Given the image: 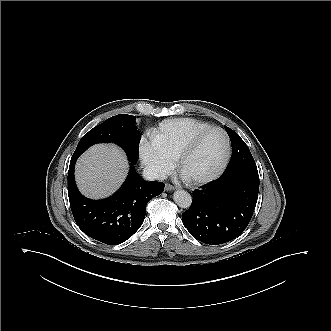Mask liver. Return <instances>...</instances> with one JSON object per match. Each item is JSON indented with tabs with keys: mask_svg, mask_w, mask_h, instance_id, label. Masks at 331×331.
Returning a JSON list of instances; mask_svg holds the SVG:
<instances>
[{
	"mask_svg": "<svg viewBox=\"0 0 331 331\" xmlns=\"http://www.w3.org/2000/svg\"><path fill=\"white\" fill-rule=\"evenodd\" d=\"M128 161L124 152L113 144H97L77 161L76 183L85 196L100 199L115 192L124 181Z\"/></svg>",
	"mask_w": 331,
	"mask_h": 331,
	"instance_id": "6515ba94",
	"label": "liver"
}]
</instances>
